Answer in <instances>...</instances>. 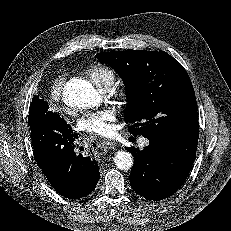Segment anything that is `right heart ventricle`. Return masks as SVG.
Returning a JSON list of instances; mask_svg holds the SVG:
<instances>
[{
	"instance_id": "right-heart-ventricle-1",
	"label": "right heart ventricle",
	"mask_w": 231,
	"mask_h": 231,
	"mask_svg": "<svg viewBox=\"0 0 231 231\" xmlns=\"http://www.w3.org/2000/svg\"><path fill=\"white\" fill-rule=\"evenodd\" d=\"M92 82L99 89L105 90L109 88L115 81V71L103 64L93 66L88 72Z\"/></svg>"
}]
</instances>
